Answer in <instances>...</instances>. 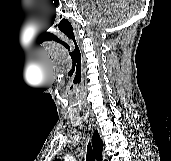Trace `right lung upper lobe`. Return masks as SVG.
<instances>
[{
  "label": "right lung upper lobe",
  "mask_w": 171,
  "mask_h": 161,
  "mask_svg": "<svg viewBox=\"0 0 171 161\" xmlns=\"http://www.w3.org/2000/svg\"><path fill=\"white\" fill-rule=\"evenodd\" d=\"M92 143H93V150L95 153V157L97 158L98 161H102L103 141L101 140L97 131H95L93 134ZM55 161H60V160L56 159Z\"/></svg>",
  "instance_id": "cb5924a9"
}]
</instances>
